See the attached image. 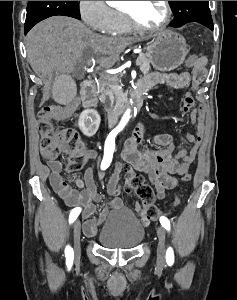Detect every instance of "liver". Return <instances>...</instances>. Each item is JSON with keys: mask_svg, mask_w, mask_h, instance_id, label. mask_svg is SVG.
<instances>
[{"mask_svg": "<svg viewBox=\"0 0 237 300\" xmlns=\"http://www.w3.org/2000/svg\"><path fill=\"white\" fill-rule=\"evenodd\" d=\"M136 37H102L71 17H50L35 25L26 37L28 61L36 73H74L85 51L103 55L101 67L109 69ZM48 95V93H47Z\"/></svg>", "mask_w": 237, "mask_h": 300, "instance_id": "liver-1", "label": "liver"}]
</instances>
